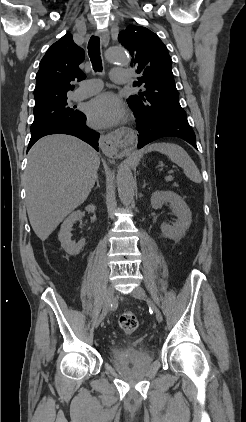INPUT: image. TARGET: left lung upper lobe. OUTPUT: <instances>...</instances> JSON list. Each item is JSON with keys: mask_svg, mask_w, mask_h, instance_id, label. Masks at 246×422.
Returning a JSON list of instances; mask_svg holds the SVG:
<instances>
[{"mask_svg": "<svg viewBox=\"0 0 246 422\" xmlns=\"http://www.w3.org/2000/svg\"><path fill=\"white\" fill-rule=\"evenodd\" d=\"M132 56L131 66L139 74L135 86L142 90L127 99L131 109L150 121L160 117L187 115L179 103L172 73V60L159 37L145 27L128 26L118 36Z\"/></svg>", "mask_w": 246, "mask_h": 422, "instance_id": "1", "label": "left lung upper lobe"}]
</instances>
